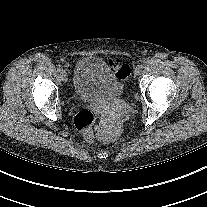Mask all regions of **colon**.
Instances as JSON below:
<instances>
[{
  "label": "colon",
  "mask_w": 207,
  "mask_h": 207,
  "mask_svg": "<svg viewBox=\"0 0 207 207\" xmlns=\"http://www.w3.org/2000/svg\"><path fill=\"white\" fill-rule=\"evenodd\" d=\"M113 67L115 69V73L121 80L125 81L129 77L131 70L127 64H124L120 61H116L113 63ZM94 123L95 116L88 109L80 110L74 118V124L76 128L83 133V137L87 142L94 141Z\"/></svg>",
  "instance_id": "5ec220e1"
}]
</instances>
